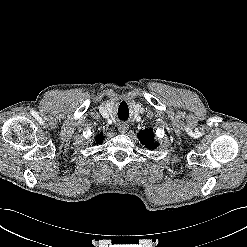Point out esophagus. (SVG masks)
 Instances as JSON below:
<instances>
[{
    "label": "esophagus",
    "mask_w": 247,
    "mask_h": 247,
    "mask_svg": "<svg viewBox=\"0 0 247 247\" xmlns=\"http://www.w3.org/2000/svg\"><path fill=\"white\" fill-rule=\"evenodd\" d=\"M128 129H129V125L126 122H120L118 124L119 132L125 133V132H127Z\"/></svg>",
    "instance_id": "esophagus-1"
}]
</instances>
